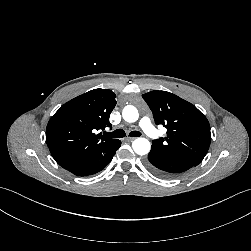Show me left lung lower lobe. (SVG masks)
I'll use <instances>...</instances> for the list:
<instances>
[{
    "label": "left lung lower lobe",
    "mask_w": 251,
    "mask_h": 251,
    "mask_svg": "<svg viewBox=\"0 0 251 251\" xmlns=\"http://www.w3.org/2000/svg\"><path fill=\"white\" fill-rule=\"evenodd\" d=\"M146 167L162 178H173L196 166L178 156L152 149L145 162Z\"/></svg>",
    "instance_id": "left-lung-lower-lobe-1"
}]
</instances>
